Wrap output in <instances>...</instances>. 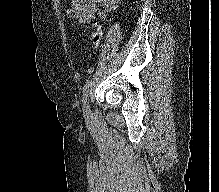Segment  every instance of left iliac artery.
<instances>
[{
	"instance_id": "1",
	"label": "left iliac artery",
	"mask_w": 219,
	"mask_h": 192,
	"mask_svg": "<svg viewBox=\"0 0 219 192\" xmlns=\"http://www.w3.org/2000/svg\"><path fill=\"white\" fill-rule=\"evenodd\" d=\"M90 85H91V80H89V79L86 80L84 85H83V88H82V96H83L82 101L83 102H85L87 100L89 89H90Z\"/></svg>"
}]
</instances>
